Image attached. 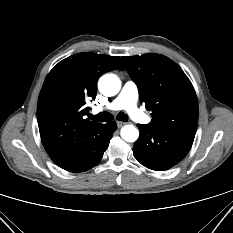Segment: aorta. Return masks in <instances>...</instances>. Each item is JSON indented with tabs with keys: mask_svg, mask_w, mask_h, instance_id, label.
Here are the masks:
<instances>
[{
	"mask_svg": "<svg viewBox=\"0 0 233 233\" xmlns=\"http://www.w3.org/2000/svg\"><path fill=\"white\" fill-rule=\"evenodd\" d=\"M98 87L103 95L114 96L121 88V81L115 74H105L99 79ZM121 137L127 142H135L139 131L133 125H125L121 129Z\"/></svg>",
	"mask_w": 233,
	"mask_h": 233,
	"instance_id": "obj_1",
	"label": "aorta"
}]
</instances>
